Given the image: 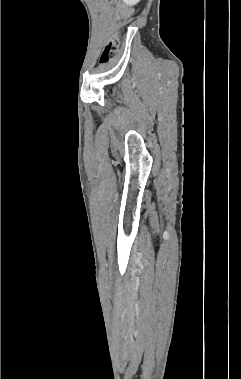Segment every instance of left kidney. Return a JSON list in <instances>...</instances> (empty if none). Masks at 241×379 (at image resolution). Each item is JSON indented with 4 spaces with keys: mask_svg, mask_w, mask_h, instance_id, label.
Returning a JSON list of instances; mask_svg holds the SVG:
<instances>
[{
    "mask_svg": "<svg viewBox=\"0 0 241 379\" xmlns=\"http://www.w3.org/2000/svg\"><path fill=\"white\" fill-rule=\"evenodd\" d=\"M125 4L129 6L136 5L140 0H123Z\"/></svg>",
    "mask_w": 241,
    "mask_h": 379,
    "instance_id": "left-kidney-1",
    "label": "left kidney"
}]
</instances>
